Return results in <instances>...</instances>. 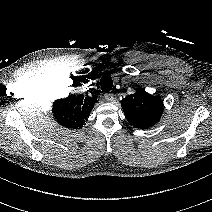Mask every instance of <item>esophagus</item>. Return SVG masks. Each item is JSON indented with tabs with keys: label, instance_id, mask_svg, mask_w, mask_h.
Returning a JSON list of instances; mask_svg holds the SVG:
<instances>
[{
	"label": "esophagus",
	"instance_id": "34e87169",
	"mask_svg": "<svg viewBox=\"0 0 212 212\" xmlns=\"http://www.w3.org/2000/svg\"><path fill=\"white\" fill-rule=\"evenodd\" d=\"M104 97H105V99H106L107 101H109V102H112V101L114 100V95L111 94V93H106V94L104 95Z\"/></svg>",
	"mask_w": 212,
	"mask_h": 212
}]
</instances>
